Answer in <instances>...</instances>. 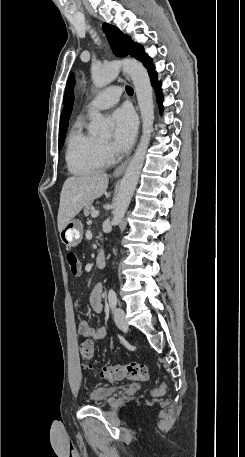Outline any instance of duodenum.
I'll return each instance as SVG.
<instances>
[{"label": "duodenum", "mask_w": 245, "mask_h": 457, "mask_svg": "<svg viewBox=\"0 0 245 457\" xmlns=\"http://www.w3.org/2000/svg\"><path fill=\"white\" fill-rule=\"evenodd\" d=\"M95 263H96V266L98 268H103L106 264V256L104 254V252L100 251L97 256H96V259H95Z\"/></svg>", "instance_id": "obj_1"}]
</instances>
